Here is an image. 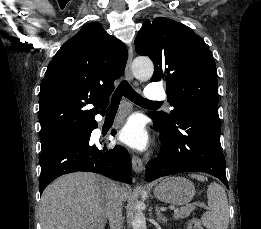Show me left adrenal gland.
Listing matches in <instances>:
<instances>
[{
	"instance_id": "obj_1",
	"label": "left adrenal gland",
	"mask_w": 261,
	"mask_h": 229,
	"mask_svg": "<svg viewBox=\"0 0 261 229\" xmlns=\"http://www.w3.org/2000/svg\"><path fill=\"white\" fill-rule=\"evenodd\" d=\"M156 215L157 221H162V223H165V225H167V219L166 217H163V215H161V211H159L158 205H156Z\"/></svg>"
}]
</instances>
